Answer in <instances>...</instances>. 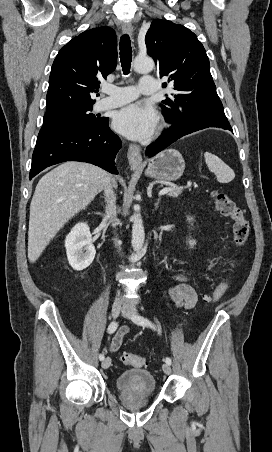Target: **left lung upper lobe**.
Wrapping results in <instances>:
<instances>
[{"mask_svg": "<svg viewBox=\"0 0 272 452\" xmlns=\"http://www.w3.org/2000/svg\"><path fill=\"white\" fill-rule=\"evenodd\" d=\"M145 42L158 75L167 76L175 90L171 99L162 101L166 121L190 125L228 121L210 73L208 56L192 31L168 20L155 19Z\"/></svg>", "mask_w": 272, "mask_h": 452, "instance_id": "obj_1", "label": "left lung upper lobe"}]
</instances>
